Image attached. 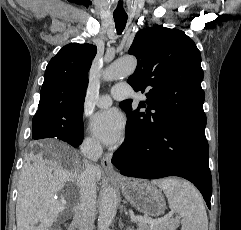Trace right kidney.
<instances>
[{
  "label": "right kidney",
  "instance_id": "right-kidney-1",
  "mask_svg": "<svg viewBox=\"0 0 241 230\" xmlns=\"http://www.w3.org/2000/svg\"><path fill=\"white\" fill-rule=\"evenodd\" d=\"M46 230H54V229H51V228H50V229H46Z\"/></svg>",
  "mask_w": 241,
  "mask_h": 230
}]
</instances>
